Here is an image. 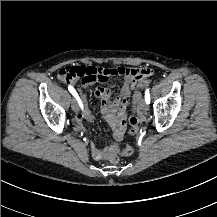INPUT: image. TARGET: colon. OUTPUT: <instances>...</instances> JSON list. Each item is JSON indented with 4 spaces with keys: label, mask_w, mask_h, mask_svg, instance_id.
Segmentation results:
<instances>
[{
    "label": "colon",
    "mask_w": 217,
    "mask_h": 217,
    "mask_svg": "<svg viewBox=\"0 0 217 217\" xmlns=\"http://www.w3.org/2000/svg\"><path fill=\"white\" fill-rule=\"evenodd\" d=\"M107 72L113 73L114 75L118 76H131L133 77L134 74H151L152 70L143 68V67H128V66H116L112 69L108 68H95V67H77V66H66L59 70V72L56 74L55 79L58 83L63 84L66 81L67 82H73L77 81L78 79H83L84 82H90L93 80H96L99 78L102 74H105ZM150 79H146L143 81H139L136 85L138 87H148L150 85ZM132 114L129 119L130 121V133L135 134L138 130V122L136 120L137 118V106L139 104V93L138 91H133L132 93ZM125 149H123L124 155H131L133 154V149L130 144H125ZM120 161V158L117 155H114L110 158L111 164H117Z\"/></svg>",
    "instance_id": "1"
}]
</instances>
